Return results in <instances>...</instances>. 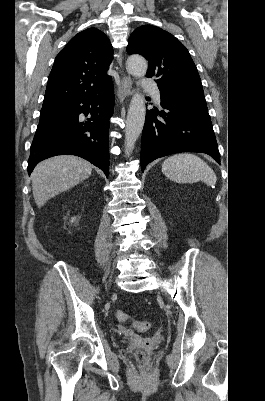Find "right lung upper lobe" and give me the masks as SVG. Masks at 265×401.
<instances>
[{"label": "right lung upper lobe", "mask_w": 265, "mask_h": 401, "mask_svg": "<svg viewBox=\"0 0 265 401\" xmlns=\"http://www.w3.org/2000/svg\"><path fill=\"white\" fill-rule=\"evenodd\" d=\"M113 55L107 36L96 28L75 35L55 58L43 106L70 103L103 90Z\"/></svg>", "instance_id": "1"}]
</instances>
